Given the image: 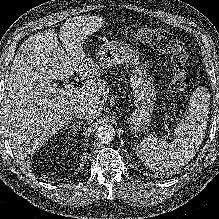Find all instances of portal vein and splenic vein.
<instances>
[{"label":"portal vein and splenic vein","mask_w":219,"mask_h":219,"mask_svg":"<svg viewBox=\"0 0 219 219\" xmlns=\"http://www.w3.org/2000/svg\"><path fill=\"white\" fill-rule=\"evenodd\" d=\"M65 88H67L66 90H64V89H57V88H53V91H56V90H59V92L61 93V94H63V95H65V94H69V90L71 89V88H73V85L72 84H68L67 86H65Z\"/></svg>","instance_id":"18ae733b"}]
</instances>
